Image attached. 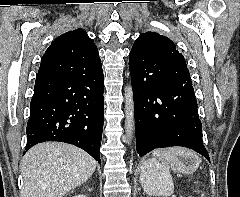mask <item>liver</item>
I'll return each mask as SVG.
<instances>
[{"instance_id": "6515ba94", "label": "liver", "mask_w": 240, "mask_h": 197, "mask_svg": "<svg viewBox=\"0 0 240 197\" xmlns=\"http://www.w3.org/2000/svg\"><path fill=\"white\" fill-rule=\"evenodd\" d=\"M95 169L96 161L74 145L39 143L22 159L21 197H62L85 183Z\"/></svg>"}]
</instances>
